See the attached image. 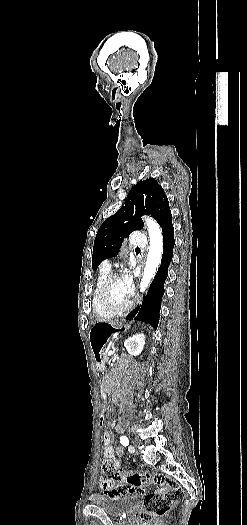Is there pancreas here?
Instances as JSON below:
<instances>
[{
	"label": "pancreas",
	"instance_id": "obj_1",
	"mask_svg": "<svg viewBox=\"0 0 247 525\" xmlns=\"http://www.w3.org/2000/svg\"><path fill=\"white\" fill-rule=\"evenodd\" d=\"M107 353H108V350H105V352H102V355L100 356V359L102 361H106L108 359Z\"/></svg>",
	"mask_w": 247,
	"mask_h": 525
}]
</instances>
